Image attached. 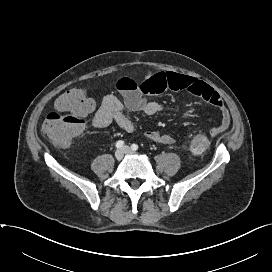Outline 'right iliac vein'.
Returning a JSON list of instances; mask_svg holds the SVG:
<instances>
[{"mask_svg":"<svg viewBox=\"0 0 272 272\" xmlns=\"http://www.w3.org/2000/svg\"><path fill=\"white\" fill-rule=\"evenodd\" d=\"M123 156H124L123 149H117L116 152H115V158L117 160H122Z\"/></svg>","mask_w":272,"mask_h":272,"instance_id":"63e3f726","label":"right iliac vein"}]
</instances>
